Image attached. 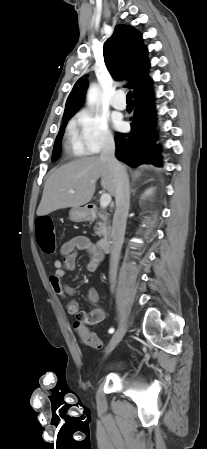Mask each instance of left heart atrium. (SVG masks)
<instances>
[{
    "mask_svg": "<svg viewBox=\"0 0 207 449\" xmlns=\"http://www.w3.org/2000/svg\"><path fill=\"white\" fill-rule=\"evenodd\" d=\"M115 126H116V128H118V129H121L122 128V121L121 120H116L115 121Z\"/></svg>",
    "mask_w": 207,
    "mask_h": 449,
    "instance_id": "left-heart-atrium-1",
    "label": "left heart atrium"
}]
</instances>
